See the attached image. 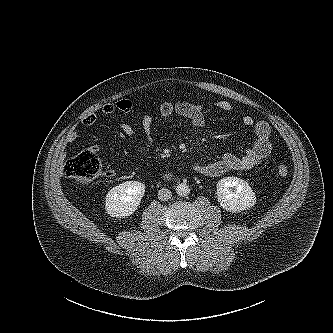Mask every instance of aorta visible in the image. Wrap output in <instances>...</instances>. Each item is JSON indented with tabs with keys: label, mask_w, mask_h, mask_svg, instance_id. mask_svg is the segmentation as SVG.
<instances>
[{
	"label": "aorta",
	"mask_w": 333,
	"mask_h": 333,
	"mask_svg": "<svg viewBox=\"0 0 333 333\" xmlns=\"http://www.w3.org/2000/svg\"><path fill=\"white\" fill-rule=\"evenodd\" d=\"M176 193L179 196H187L190 193V188L186 183H180L176 187Z\"/></svg>",
	"instance_id": "obj_1"
}]
</instances>
